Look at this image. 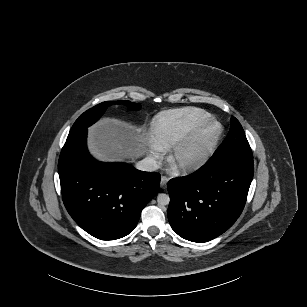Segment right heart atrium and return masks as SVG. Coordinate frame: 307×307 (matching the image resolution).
Here are the masks:
<instances>
[{
	"label": "right heart atrium",
	"mask_w": 307,
	"mask_h": 307,
	"mask_svg": "<svg viewBox=\"0 0 307 307\" xmlns=\"http://www.w3.org/2000/svg\"><path fill=\"white\" fill-rule=\"evenodd\" d=\"M162 155L155 147H149L147 151V159L149 163L154 164L161 160Z\"/></svg>",
	"instance_id": "1"
}]
</instances>
